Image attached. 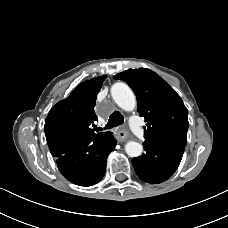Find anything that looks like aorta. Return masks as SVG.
<instances>
[{
	"mask_svg": "<svg viewBox=\"0 0 228 228\" xmlns=\"http://www.w3.org/2000/svg\"><path fill=\"white\" fill-rule=\"evenodd\" d=\"M111 95L116 104L125 111H132L136 106V98L131 88L122 82L111 87ZM125 151L130 157H138L143 152V146L135 141L125 145Z\"/></svg>",
	"mask_w": 228,
	"mask_h": 228,
	"instance_id": "obj_1",
	"label": "aorta"
}]
</instances>
